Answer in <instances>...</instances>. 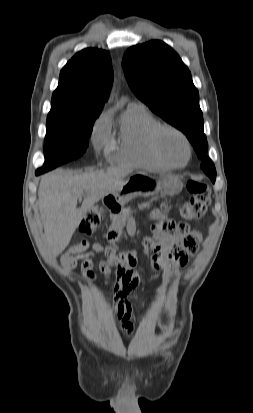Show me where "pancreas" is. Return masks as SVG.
Listing matches in <instances>:
<instances>
[{"label":"pancreas","mask_w":253,"mask_h":413,"mask_svg":"<svg viewBox=\"0 0 253 413\" xmlns=\"http://www.w3.org/2000/svg\"><path fill=\"white\" fill-rule=\"evenodd\" d=\"M129 214V209L124 210L121 214L112 218V225L111 227L118 231L120 234L126 224V217Z\"/></svg>","instance_id":"pancreas-1"}]
</instances>
